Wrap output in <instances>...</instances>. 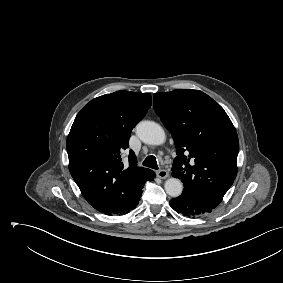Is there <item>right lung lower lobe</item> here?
Instances as JSON below:
<instances>
[{"label":"right lung lower lobe","mask_w":283,"mask_h":283,"mask_svg":"<svg viewBox=\"0 0 283 283\" xmlns=\"http://www.w3.org/2000/svg\"><path fill=\"white\" fill-rule=\"evenodd\" d=\"M155 178V173L153 172L148 178L147 181H152Z\"/></svg>","instance_id":"right-lung-lower-lobe-1"}]
</instances>
